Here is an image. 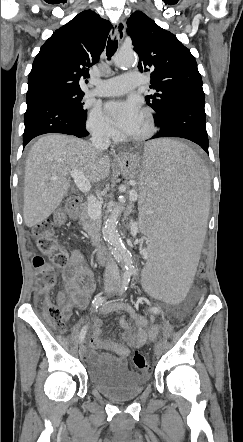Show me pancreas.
<instances>
[{
    "label": "pancreas",
    "instance_id": "1",
    "mask_svg": "<svg viewBox=\"0 0 243 442\" xmlns=\"http://www.w3.org/2000/svg\"><path fill=\"white\" fill-rule=\"evenodd\" d=\"M80 222L83 229L89 234L92 239H94L100 230L101 221L99 219H94L90 217V215L88 214V206H84L80 216Z\"/></svg>",
    "mask_w": 243,
    "mask_h": 442
}]
</instances>
